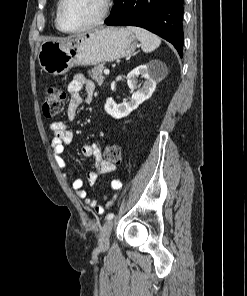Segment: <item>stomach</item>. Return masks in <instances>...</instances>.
Returning a JSON list of instances; mask_svg holds the SVG:
<instances>
[{"instance_id":"1","label":"stomach","mask_w":247,"mask_h":296,"mask_svg":"<svg viewBox=\"0 0 247 296\" xmlns=\"http://www.w3.org/2000/svg\"><path fill=\"white\" fill-rule=\"evenodd\" d=\"M137 46L136 36L128 29L107 27L64 41H44L38 61L46 73L59 76L75 66H94L130 56Z\"/></svg>"}]
</instances>
